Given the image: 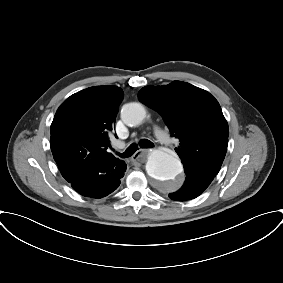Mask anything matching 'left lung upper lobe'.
<instances>
[{
	"mask_svg": "<svg viewBox=\"0 0 283 283\" xmlns=\"http://www.w3.org/2000/svg\"><path fill=\"white\" fill-rule=\"evenodd\" d=\"M144 104L158 111L172 136L186 174L213 180L224 160L228 124L218 101L207 91L182 81L145 86L139 92Z\"/></svg>",
	"mask_w": 283,
	"mask_h": 283,
	"instance_id": "left-lung-upper-lobe-1",
	"label": "left lung upper lobe"
}]
</instances>
